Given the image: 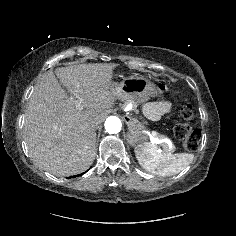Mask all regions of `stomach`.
I'll return each mask as SVG.
<instances>
[{"label":"stomach","mask_w":236,"mask_h":236,"mask_svg":"<svg viewBox=\"0 0 236 236\" xmlns=\"http://www.w3.org/2000/svg\"><path fill=\"white\" fill-rule=\"evenodd\" d=\"M112 89L119 95L123 96V100L131 101L134 105L144 104L150 98L158 95L157 86L150 82L147 78L137 74L124 77L119 82H113ZM129 125V142L132 145L143 143L147 136L142 133L144 125L135 118L128 120Z\"/></svg>","instance_id":"0dacf381"}]
</instances>
